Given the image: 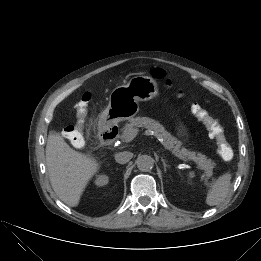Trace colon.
<instances>
[{
    "label": "colon",
    "instance_id": "5ec220e1",
    "mask_svg": "<svg viewBox=\"0 0 261 261\" xmlns=\"http://www.w3.org/2000/svg\"><path fill=\"white\" fill-rule=\"evenodd\" d=\"M151 74L155 79L163 80L167 87H171L172 82L167 78L164 70L156 68L152 70ZM178 94L182 95V92L179 91ZM90 98V92H85L82 95L76 107L77 113L79 115L85 114ZM191 111L200 121L205 124L210 136L215 139L217 154L219 157L225 161L231 160L234 157V150L228 142L224 129L218 123V121L212 118L206 110L196 103L191 105ZM63 135L75 147H81L84 144L83 129L80 125L75 124L67 126L63 130Z\"/></svg>",
    "mask_w": 261,
    "mask_h": 261
}]
</instances>
